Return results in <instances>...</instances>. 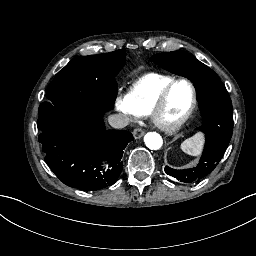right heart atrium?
Masks as SVG:
<instances>
[{"instance_id":"obj_1","label":"right heart atrium","mask_w":256,"mask_h":256,"mask_svg":"<svg viewBox=\"0 0 256 256\" xmlns=\"http://www.w3.org/2000/svg\"><path fill=\"white\" fill-rule=\"evenodd\" d=\"M131 98H132L131 93H127L124 95L118 94L115 98V104H114L115 110L123 115L133 117L134 112L131 107Z\"/></svg>"}]
</instances>
